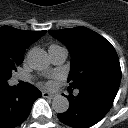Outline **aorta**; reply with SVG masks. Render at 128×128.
<instances>
[{
  "instance_id": "1",
  "label": "aorta",
  "mask_w": 128,
  "mask_h": 128,
  "mask_svg": "<svg viewBox=\"0 0 128 128\" xmlns=\"http://www.w3.org/2000/svg\"><path fill=\"white\" fill-rule=\"evenodd\" d=\"M27 62L31 68L38 71H43L50 65L48 54L41 49L30 51ZM52 108L57 113H65L69 109V101L66 97L57 95L53 98Z\"/></svg>"
}]
</instances>
